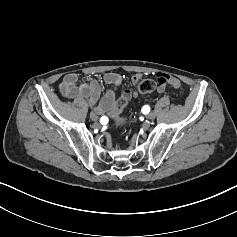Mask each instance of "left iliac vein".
I'll list each match as a JSON object with an SVG mask.
<instances>
[{
  "label": "left iliac vein",
  "instance_id": "1",
  "mask_svg": "<svg viewBox=\"0 0 237 237\" xmlns=\"http://www.w3.org/2000/svg\"><path fill=\"white\" fill-rule=\"evenodd\" d=\"M155 113L154 112H150L148 115H147V118L148 119H150V120H152V119H154L155 118Z\"/></svg>",
  "mask_w": 237,
  "mask_h": 237
}]
</instances>
